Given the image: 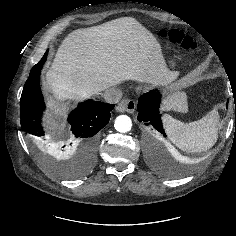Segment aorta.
Segmentation results:
<instances>
[{"label":"aorta","instance_id":"aorta-1","mask_svg":"<svg viewBox=\"0 0 236 236\" xmlns=\"http://www.w3.org/2000/svg\"><path fill=\"white\" fill-rule=\"evenodd\" d=\"M115 129L120 133H127L132 128V121L127 115H120L115 119Z\"/></svg>","mask_w":236,"mask_h":236}]
</instances>
